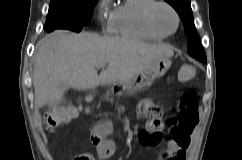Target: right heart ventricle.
Returning <instances> with one entry per match:
<instances>
[{
    "instance_id": "e07e8e85",
    "label": "right heart ventricle",
    "mask_w": 242,
    "mask_h": 160,
    "mask_svg": "<svg viewBox=\"0 0 242 160\" xmlns=\"http://www.w3.org/2000/svg\"><path fill=\"white\" fill-rule=\"evenodd\" d=\"M153 0H124L115 6L110 18L114 34L135 40L161 41L164 37L151 32L143 20L144 10Z\"/></svg>"
}]
</instances>
